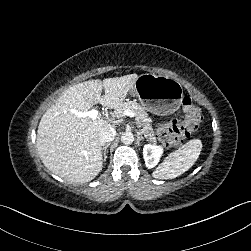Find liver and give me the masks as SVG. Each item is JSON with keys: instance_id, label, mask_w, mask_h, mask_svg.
<instances>
[{"instance_id": "1", "label": "liver", "mask_w": 251, "mask_h": 251, "mask_svg": "<svg viewBox=\"0 0 251 251\" xmlns=\"http://www.w3.org/2000/svg\"><path fill=\"white\" fill-rule=\"evenodd\" d=\"M136 78V74H128L103 81H84L66 90L46 111L38 126L37 150L51 172L74 183L90 181L99 173L102 168L99 133L110 124L79 117L71 109L89 111L94 103L115 107Z\"/></svg>"}]
</instances>
